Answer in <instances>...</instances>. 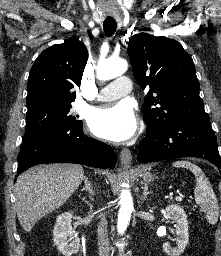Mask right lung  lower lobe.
<instances>
[{
	"label": "right lung lower lobe",
	"instance_id": "obj_1",
	"mask_svg": "<svg viewBox=\"0 0 221 256\" xmlns=\"http://www.w3.org/2000/svg\"><path fill=\"white\" fill-rule=\"evenodd\" d=\"M117 155L107 144L83 133V124L44 130L22 141L17 175L43 163H76L96 168H112Z\"/></svg>",
	"mask_w": 221,
	"mask_h": 256
}]
</instances>
